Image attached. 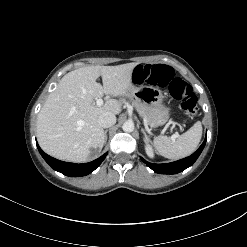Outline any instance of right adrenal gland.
<instances>
[{
    "label": "right adrenal gland",
    "instance_id": "2a0ac1e0",
    "mask_svg": "<svg viewBox=\"0 0 247 247\" xmlns=\"http://www.w3.org/2000/svg\"><path fill=\"white\" fill-rule=\"evenodd\" d=\"M107 132H108V130H105L104 131V143L106 144V142H107Z\"/></svg>",
    "mask_w": 247,
    "mask_h": 247
}]
</instances>
